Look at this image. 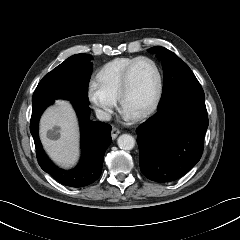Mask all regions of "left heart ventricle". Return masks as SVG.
<instances>
[{
  "label": "left heart ventricle",
  "instance_id": "1",
  "mask_svg": "<svg viewBox=\"0 0 240 240\" xmlns=\"http://www.w3.org/2000/svg\"><path fill=\"white\" fill-rule=\"evenodd\" d=\"M157 87V74L152 63L138 62L130 77V91L125 100L123 111L134 116L151 102Z\"/></svg>",
  "mask_w": 240,
  "mask_h": 240
}]
</instances>
